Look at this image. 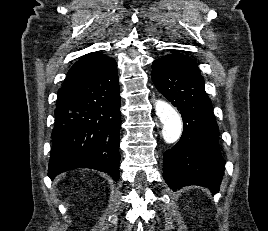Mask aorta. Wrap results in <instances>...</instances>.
Instances as JSON below:
<instances>
[{"mask_svg": "<svg viewBox=\"0 0 268 231\" xmlns=\"http://www.w3.org/2000/svg\"><path fill=\"white\" fill-rule=\"evenodd\" d=\"M156 115L163 124L162 135L166 143L176 142L182 133V120L177 111L168 103L158 100L155 103Z\"/></svg>", "mask_w": 268, "mask_h": 231, "instance_id": "aorta-1", "label": "aorta"}]
</instances>
